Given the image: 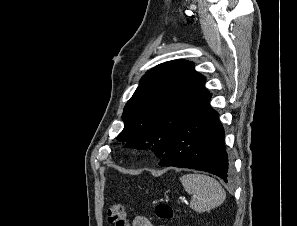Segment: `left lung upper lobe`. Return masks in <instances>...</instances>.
Instances as JSON below:
<instances>
[{
  "mask_svg": "<svg viewBox=\"0 0 297 226\" xmlns=\"http://www.w3.org/2000/svg\"><path fill=\"white\" fill-rule=\"evenodd\" d=\"M205 77L194 70L192 62L173 60L148 71L124 107L125 127L117 136L128 146L152 151L162 158L172 143L179 127L198 102L209 92Z\"/></svg>",
  "mask_w": 297,
  "mask_h": 226,
  "instance_id": "1",
  "label": "left lung upper lobe"
}]
</instances>
